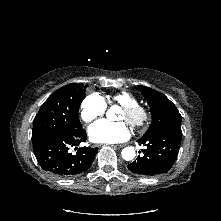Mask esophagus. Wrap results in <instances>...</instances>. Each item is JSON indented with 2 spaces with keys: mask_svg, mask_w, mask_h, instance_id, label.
Segmentation results:
<instances>
[{
  "mask_svg": "<svg viewBox=\"0 0 221 221\" xmlns=\"http://www.w3.org/2000/svg\"><path fill=\"white\" fill-rule=\"evenodd\" d=\"M124 146H125V144H114V145H112L113 148H117V149L123 148Z\"/></svg>",
  "mask_w": 221,
  "mask_h": 221,
  "instance_id": "esophagus-1",
  "label": "esophagus"
}]
</instances>
